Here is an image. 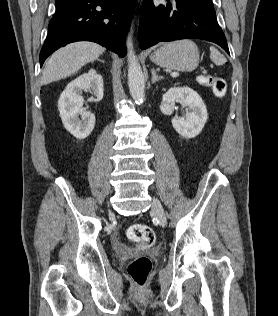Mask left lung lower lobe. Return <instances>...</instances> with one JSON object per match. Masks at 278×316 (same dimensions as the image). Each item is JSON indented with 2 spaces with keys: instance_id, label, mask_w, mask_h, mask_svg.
I'll return each mask as SVG.
<instances>
[{
  "instance_id": "obj_1",
  "label": "left lung lower lobe",
  "mask_w": 278,
  "mask_h": 316,
  "mask_svg": "<svg viewBox=\"0 0 278 316\" xmlns=\"http://www.w3.org/2000/svg\"><path fill=\"white\" fill-rule=\"evenodd\" d=\"M167 2L155 7L152 0L143 1L139 23V45L142 49L158 42L201 39L220 45L230 54L215 12L191 0Z\"/></svg>"
}]
</instances>
